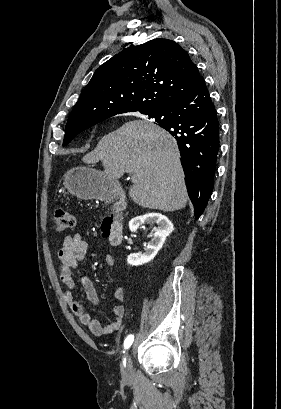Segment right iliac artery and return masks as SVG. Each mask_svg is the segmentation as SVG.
I'll return each instance as SVG.
<instances>
[{
    "instance_id": "obj_1",
    "label": "right iliac artery",
    "mask_w": 281,
    "mask_h": 409,
    "mask_svg": "<svg viewBox=\"0 0 281 409\" xmlns=\"http://www.w3.org/2000/svg\"><path fill=\"white\" fill-rule=\"evenodd\" d=\"M133 340H134V336H133V335L127 336V338H126L125 341H124V347H125V349H128V348L132 345Z\"/></svg>"
}]
</instances>
